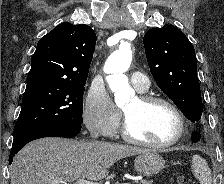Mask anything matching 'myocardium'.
<instances>
[{"instance_id":"1","label":"myocardium","mask_w":224,"mask_h":184,"mask_svg":"<svg viewBox=\"0 0 224 184\" xmlns=\"http://www.w3.org/2000/svg\"><path fill=\"white\" fill-rule=\"evenodd\" d=\"M138 99L143 106H149L152 104L161 103L169 107L176 115L178 121V129L174 137L169 141L165 143H152L136 137L131 132L129 118L127 114L124 112L122 135L127 141L133 144L141 145L155 150H164L175 145L184 137L186 133V119L181 109L172 100L158 95H140Z\"/></svg>"}]
</instances>
